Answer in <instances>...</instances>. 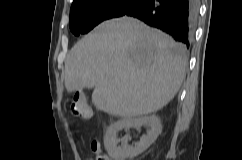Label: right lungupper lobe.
<instances>
[{"label": "right lung upper lobe", "instance_id": "right-lung-upper-lobe-1", "mask_svg": "<svg viewBox=\"0 0 242 160\" xmlns=\"http://www.w3.org/2000/svg\"><path fill=\"white\" fill-rule=\"evenodd\" d=\"M80 1H82V0H74V2H73L72 5H75V4H77L78 2H80Z\"/></svg>", "mask_w": 242, "mask_h": 160}]
</instances>
